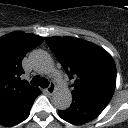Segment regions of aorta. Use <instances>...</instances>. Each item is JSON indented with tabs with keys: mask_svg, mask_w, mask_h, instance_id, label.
<instances>
[{
	"mask_svg": "<svg viewBox=\"0 0 128 128\" xmlns=\"http://www.w3.org/2000/svg\"><path fill=\"white\" fill-rule=\"evenodd\" d=\"M30 61L34 68L42 73H48L54 68L51 56L43 50H34L30 54ZM72 103V94L67 88H59L53 95V104L59 110H66Z\"/></svg>",
	"mask_w": 128,
	"mask_h": 128,
	"instance_id": "1",
	"label": "aorta"
}]
</instances>
